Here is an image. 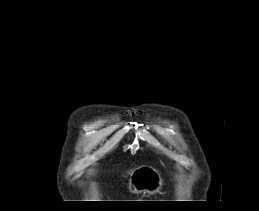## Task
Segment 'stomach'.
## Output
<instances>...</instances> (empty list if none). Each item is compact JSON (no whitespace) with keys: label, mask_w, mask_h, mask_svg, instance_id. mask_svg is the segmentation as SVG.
<instances>
[{"label":"stomach","mask_w":259,"mask_h":211,"mask_svg":"<svg viewBox=\"0 0 259 211\" xmlns=\"http://www.w3.org/2000/svg\"><path fill=\"white\" fill-rule=\"evenodd\" d=\"M162 186L163 179L156 168L141 166L131 173L128 188L131 193L156 194Z\"/></svg>","instance_id":"stomach-1"}]
</instances>
